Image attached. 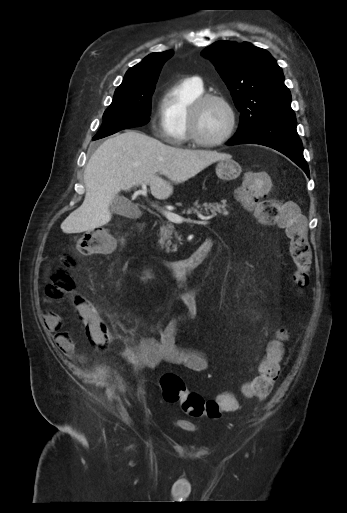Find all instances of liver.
Returning a JSON list of instances; mask_svg holds the SVG:
<instances>
[{"mask_svg":"<svg viewBox=\"0 0 347 513\" xmlns=\"http://www.w3.org/2000/svg\"><path fill=\"white\" fill-rule=\"evenodd\" d=\"M231 158L211 150L175 148L144 133L128 130L103 142L90 158L84 172L86 194L83 204L62 222L64 233L91 231L111 220L109 207L117 194L145 183L157 199L173 193V183L196 176L212 163Z\"/></svg>","mask_w":347,"mask_h":513,"instance_id":"obj_1","label":"liver"}]
</instances>
